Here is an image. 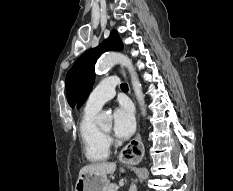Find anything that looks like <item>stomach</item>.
<instances>
[{
  "instance_id": "stomach-1",
  "label": "stomach",
  "mask_w": 233,
  "mask_h": 191,
  "mask_svg": "<svg viewBox=\"0 0 233 191\" xmlns=\"http://www.w3.org/2000/svg\"><path fill=\"white\" fill-rule=\"evenodd\" d=\"M109 185L107 176L83 174L75 184V191H107Z\"/></svg>"
}]
</instances>
